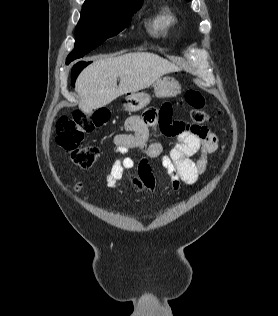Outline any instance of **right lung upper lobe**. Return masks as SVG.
I'll return each instance as SVG.
<instances>
[{"mask_svg":"<svg viewBox=\"0 0 278 316\" xmlns=\"http://www.w3.org/2000/svg\"><path fill=\"white\" fill-rule=\"evenodd\" d=\"M143 0H85L84 4L94 5H115V4H131L141 2Z\"/></svg>","mask_w":278,"mask_h":316,"instance_id":"obj_1","label":"right lung upper lobe"}]
</instances>
